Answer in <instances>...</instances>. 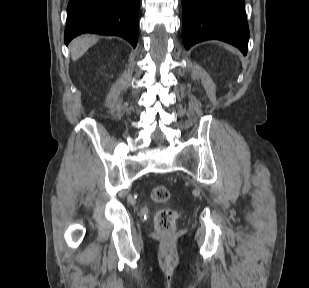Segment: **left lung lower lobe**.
<instances>
[{"mask_svg": "<svg viewBox=\"0 0 309 288\" xmlns=\"http://www.w3.org/2000/svg\"><path fill=\"white\" fill-rule=\"evenodd\" d=\"M184 46L217 39L247 54L249 28L244 0H182Z\"/></svg>", "mask_w": 309, "mask_h": 288, "instance_id": "0a47b994", "label": "left lung lower lobe"}]
</instances>
